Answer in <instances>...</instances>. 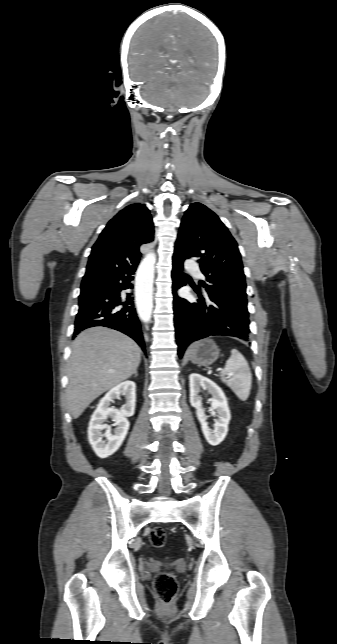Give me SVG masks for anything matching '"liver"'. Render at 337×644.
I'll list each match as a JSON object with an SVG mask.
<instances>
[{"label": "liver", "instance_id": "6515ba94", "mask_svg": "<svg viewBox=\"0 0 337 644\" xmlns=\"http://www.w3.org/2000/svg\"><path fill=\"white\" fill-rule=\"evenodd\" d=\"M141 349L128 336L103 327L81 332L72 343L66 392L70 414L77 419L102 393L135 374Z\"/></svg>", "mask_w": 337, "mask_h": 644}]
</instances>
